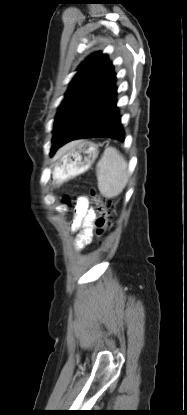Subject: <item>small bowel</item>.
Instances as JSON below:
<instances>
[{"label":"small bowel","mask_w":187,"mask_h":415,"mask_svg":"<svg viewBox=\"0 0 187 415\" xmlns=\"http://www.w3.org/2000/svg\"><path fill=\"white\" fill-rule=\"evenodd\" d=\"M94 219L95 212L90 208L89 200L86 197L80 198L76 204L75 218L71 224L72 230L82 229L75 241L77 249H84L90 243V229Z\"/></svg>","instance_id":"c3829d8e"}]
</instances>
